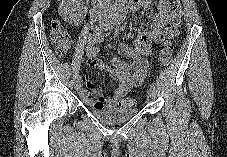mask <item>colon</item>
Returning <instances> with one entry per match:
<instances>
[{
	"label": "colon",
	"instance_id": "colon-1",
	"mask_svg": "<svg viewBox=\"0 0 227 157\" xmlns=\"http://www.w3.org/2000/svg\"><path fill=\"white\" fill-rule=\"evenodd\" d=\"M182 22V15L178 0H175L171 10L169 25L166 29V43L160 51L159 62L163 67H167L172 60L173 50L168 40L178 35V30ZM50 38L54 45L56 54L60 57H64L71 48V39L69 37L66 27L58 20H55L51 24ZM135 100L132 98H125L121 101L122 107H132L135 104Z\"/></svg>",
	"mask_w": 227,
	"mask_h": 157
}]
</instances>
